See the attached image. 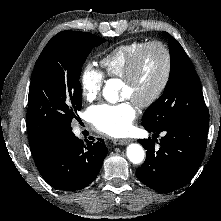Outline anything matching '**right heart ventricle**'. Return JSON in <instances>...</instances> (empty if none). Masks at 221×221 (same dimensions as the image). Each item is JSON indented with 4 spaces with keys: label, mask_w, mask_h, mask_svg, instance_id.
<instances>
[{
    "label": "right heart ventricle",
    "mask_w": 221,
    "mask_h": 221,
    "mask_svg": "<svg viewBox=\"0 0 221 221\" xmlns=\"http://www.w3.org/2000/svg\"><path fill=\"white\" fill-rule=\"evenodd\" d=\"M144 44L143 41H134L109 50L100 59L103 74L110 78H122L128 64Z\"/></svg>",
    "instance_id": "right-heart-ventricle-1"
}]
</instances>
